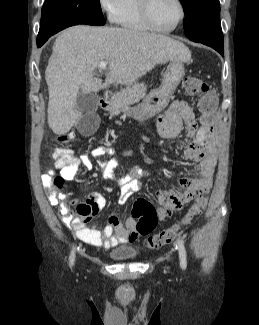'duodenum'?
<instances>
[{"mask_svg":"<svg viewBox=\"0 0 259 325\" xmlns=\"http://www.w3.org/2000/svg\"><path fill=\"white\" fill-rule=\"evenodd\" d=\"M98 104H99V107H100L101 109H103V110H107V109L109 108V102L107 101V99H105V98H103V97H101V98L99 99Z\"/></svg>","mask_w":259,"mask_h":325,"instance_id":"1","label":"duodenum"}]
</instances>
